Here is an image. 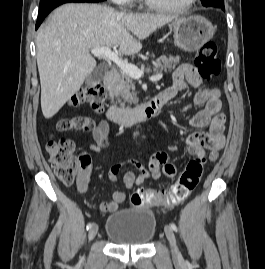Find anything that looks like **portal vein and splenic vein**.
<instances>
[{
  "instance_id": "18ae733b",
  "label": "portal vein and splenic vein",
  "mask_w": 265,
  "mask_h": 269,
  "mask_svg": "<svg viewBox=\"0 0 265 269\" xmlns=\"http://www.w3.org/2000/svg\"><path fill=\"white\" fill-rule=\"evenodd\" d=\"M91 53L96 57H104L114 62L123 72L134 79H140L144 73L137 66L123 61L118 54L114 53L109 47H95L91 49ZM163 77L162 73H158L150 77V81L157 82Z\"/></svg>"
}]
</instances>
